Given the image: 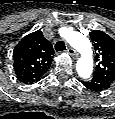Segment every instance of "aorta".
<instances>
[{
  "label": "aorta",
  "instance_id": "aorta-1",
  "mask_svg": "<svg viewBox=\"0 0 115 119\" xmlns=\"http://www.w3.org/2000/svg\"><path fill=\"white\" fill-rule=\"evenodd\" d=\"M65 39L81 54L76 64L78 75L82 78L90 77L93 71L92 46L90 41L81 33L71 30L66 32Z\"/></svg>",
  "mask_w": 115,
  "mask_h": 119
}]
</instances>
